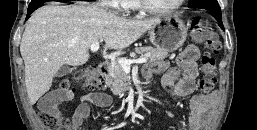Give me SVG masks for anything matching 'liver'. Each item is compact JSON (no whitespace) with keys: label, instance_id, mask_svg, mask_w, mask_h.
Masks as SVG:
<instances>
[{"label":"liver","instance_id":"1","mask_svg":"<svg viewBox=\"0 0 257 130\" xmlns=\"http://www.w3.org/2000/svg\"><path fill=\"white\" fill-rule=\"evenodd\" d=\"M158 21L125 19L94 7L58 3L39 8L28 20L20 44L30 103L49 91L61 66L85 64L93 43L105 41L106 48L125 49Z\"/></svg>","mask_w":257,"mask_h":130}]
</instances>
